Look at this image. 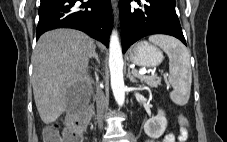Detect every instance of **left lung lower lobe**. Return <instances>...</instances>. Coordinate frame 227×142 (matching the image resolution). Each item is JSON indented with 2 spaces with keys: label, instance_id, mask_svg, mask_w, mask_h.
Here are the masks:
<instances>
[{
  "label": "left lung lower lobe",
  "instance_id": "left-lung-lower-lobe-1",
  "mask_svg": "<svg viewBox=\"0 0 227 142\" xmlns=\"http://www.w3.org/2000/svg\"><path fill=\"white\" fill-rule=\"evenodd\" d=\"M131 1H119L123 53L137 40L152 34L171 35L186 45L175 0H135L142 9L133 8Z\"/></svg>",
  "mask_w": 227,
  "mask_h": 142
}]
</instances>
